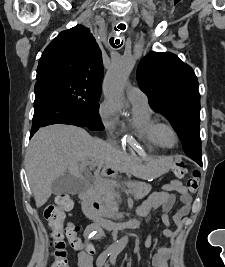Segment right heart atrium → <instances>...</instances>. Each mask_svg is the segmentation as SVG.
<instances>
[{
  "instance_id": "right-heart-atrium-1",
  "label": "right heart atrium",
  "mask_w": 225,
  "mask_h": 267,
  "mask_svg": "<svg viewBox=\"0 0 225 267\" xmlns=\"http://www.w3.org/2000/svg\"><path fill=\"white\" fill-rule=\"evenodd\" d=\"M98 113L105 129L113 132L118 124L116 105L110 99L106 98L101 102Z\"/></svg>"
}]
</instances>
